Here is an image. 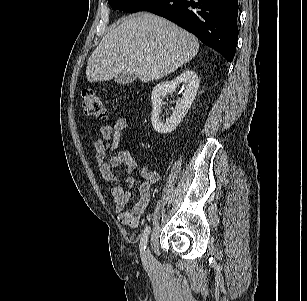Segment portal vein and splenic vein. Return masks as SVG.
<instances>
[{"instance_id":"portal-vein-and-splenic-vein-1","label":"portal vein and splenic vein","mask_w":307,"mask_h":301,"mask_svg":"<svg viewBox=\"0 0 307 301\" xmlns=\"http://www.w3.org/2000/svg\"><path fill=\"white\" fill-rule=\"evenodd\" d=\"M148 61L150 60V58H146Z\"/></svg>"}]
</instances>
